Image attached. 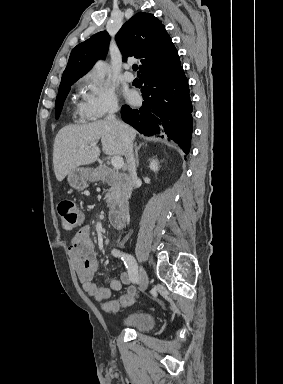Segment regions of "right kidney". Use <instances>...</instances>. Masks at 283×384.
<instances>
[{
  "instance_id": "right-kidney-1",
  "label": "right kidney",
  "mask_w": 283,
  "mask_h": 384,
  "mask_svg": "<svg viewBox=\"0 0 283 384\" xmlns=\"http://www.w3.org/2000/svg\"><path fill=\"white\" fill-rule=\"evenodd\" d=\"M158 164H159L158 160H151L150 166H149L150 170H153V172H158L159 170Z\"/></svg>"
}]
</instances>
